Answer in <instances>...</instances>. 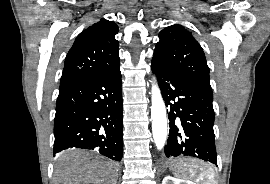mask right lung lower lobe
Wrapping results in <instances>:
<instances>
[{
	"instance_id": "1",
	"label": "right lung lower lobe",
	"mask_w": 270,
	"mask_h": 184,
	"mask_svg": "<svg viewBox=\"0 0 270 184\" xmlns=\"http://www.w3.org/2000/svg\"><path fill=\"white\" fill-rule=\"evenodd\" d=\"M122 111L120 67L61 84L54 121V155L76 147L120 161Z\"/></svg>"
}]
</instances>
